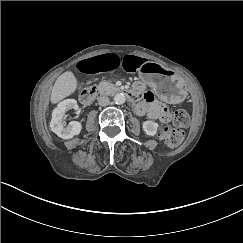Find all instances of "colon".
I'll return each mask as SVG.
<instances>
[{"instance_id": "obj_1", "label": "colon", "mask_w": 243, "mask_h": 243, "mask_svg": "<svg viewBox=\"0 0 243 243\" xmlns=\"http://www.w3.org/2000/svg\"><path fill=\"white\" fill-rule=\"evenodd\" d=\"M189 123V116L183 110H177L173 114V124L163 129L162 137L170 147L178 146L184 139V131Z\"/></svg>"}]
</instances>
